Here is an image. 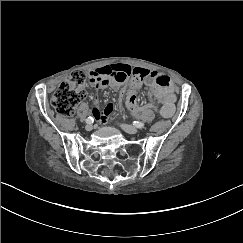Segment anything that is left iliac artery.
Wrapping results in <instances>:
<instances>
[{
    "label": "left iliac artery",
    "mask_w": 243,
    "mask_h": 243,
    "mask_svg": "<svg viewBox=\"0 0 243 243\" xmlns=\"http://www.w3.org/2000/svg\"><path fill=\"white\" fill-rule=\"evenodd\" d=\"M133 125L136 126L137 128H143L144 127V123L139 122V121H134Z\"/></svg>",
    "instance_id": "left-iliac-artery-1"
}]
</instances>
